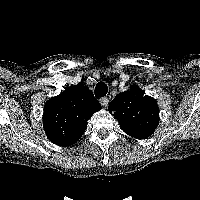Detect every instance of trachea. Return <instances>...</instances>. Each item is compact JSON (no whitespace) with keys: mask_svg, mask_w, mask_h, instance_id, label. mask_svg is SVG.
Masks as SVG:
<instances>
[{"mask_svg":"<svg viewBox=\"0 0 200 200\" xmlns=\"http://www.w3.org/2000/svg\"><path fill=\"white\" fill-rule=\"evenodd\" d=\"M108 92V87L106 85V83L100 81L97 83L96 87H95V96L97 98L103 97L107 94Z\"/></svg>","mask_w":200,"mask_h":200,"instance_id":"obj_1","label":"trachea"}]
</instances>
